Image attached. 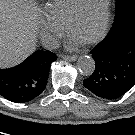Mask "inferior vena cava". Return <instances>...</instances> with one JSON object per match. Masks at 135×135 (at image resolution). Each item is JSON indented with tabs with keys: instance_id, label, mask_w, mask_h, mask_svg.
<instances>
[{
	"instance_id": "obj_1",
	"label": "inferior vena cava",
	"mask_w": 135,
	"mask_h": 135,
	"mask_svg": "<svg viewBox=\"0 0 135 135\" xmlns=\"http://www.w3.org/2000/svg\"><path fill=\"white\" fill-rule=\"evenodd\" d=\"M41 43L43 47L47 50H53L60 47L59 40L51 34L43 35L41 38Z\"/></svg>"
}]
</instances>
